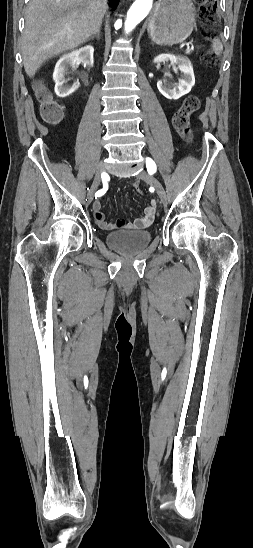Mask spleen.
Returning <instances> with one entry per match:
<instances>
[{
	"mask_svg": "<svg viewBox=\"0 0 253 548\" xmlns=\"http://www.w3.org/2000/svg\"><path fill=\"white\" fill-rule=\"evenodd\" d=\"M213 48H214V51L215 53L218 55L222 52L223 50V45L222 43L220 42L219 39H215L214 42H213Z\"/></svg>",
	"mask_w": 253,
	"mask_h": 548,
	"instance_id": "1",
	"label": "spleen"
}]
</instances>
